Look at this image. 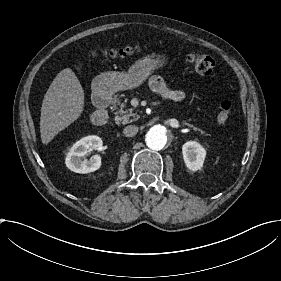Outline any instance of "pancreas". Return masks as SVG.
I'll return each mask as SVG.
<instances>
[{"label": "pancreas", "mask_w": 281, "mask_h": 281, "mask_svg": "<svg viewBox=\"0 0 281 281\" xmlns=\"http://www.w3.org/2000/svg\"><path fill=\"white\" fill-rule=\"evenodd\" d=\"M114 108L117 110L115 112V123L125 124L132 121H136L138 116L133 111L132 108H126L127 100L121 101L120 99L113 97Z\"/></svg>", "instance_id": "obj_1"}]
</instances>
